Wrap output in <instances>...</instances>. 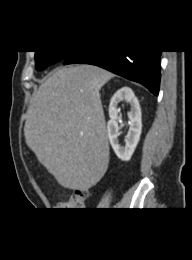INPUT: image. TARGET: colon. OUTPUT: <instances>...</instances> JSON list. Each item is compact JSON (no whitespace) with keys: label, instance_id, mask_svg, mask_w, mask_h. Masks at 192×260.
Segmentation results:
<instances>
[{"label":"colon","instance_id":"5ec220e1","mask_svg":"<svg viewBox=\"0 0 192 260\" xmlns=\"http://www.w3.org/2000/svg\"><path fill=\"white\" fill-rule=\"evenodd\" d=\"M87 197L88 193L86 191H76L67 201L60 202L58 208L59 210L80 209L84 206Z\"/></svg>","mask_w":192,"mask_h":260}]
</instances>
